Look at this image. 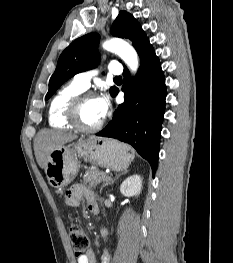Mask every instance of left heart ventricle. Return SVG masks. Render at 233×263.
I'll use <instances>...</instances> for the list:
<instances>
[{"mask_svg": "<svg viewBox=\"0 0 233 263\" xmlns=\"http://www.w3.org/2000/svg\"><path fill=\"white\" fill-rule=\"evenodd\" d=\"M80 117L82 124L87 127L95 126L101 121L97 98H90L85 101L80 111Z\"/></svg>", "mask_w": 233, "mask_h": 263, "instance_id": "obj_1", "label": "left heart ventricle"}]
</instances>
